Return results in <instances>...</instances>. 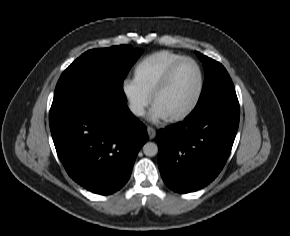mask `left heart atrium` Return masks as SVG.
Returning a JSON list of instances; mask_svg holds the SVG:
<instances>
[{"label":"left heart atrium","mask_w":290,"mask_h":236,"mask_svg":"<svg viewBox=\"0 0 290 236\" xmlns=\"http://www.w3.org/2000/svg\"><path fill=\"white\" fill-rule=\"evenodd\" d=\"M153 113H154V114H157V111L155 110Z\"/></svg>","instance_id":"1"}]
</instances>
